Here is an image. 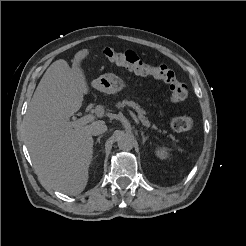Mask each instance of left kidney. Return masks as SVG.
I'll return each mask as SVG.
<instances>
[{"label": "left kidney", "mask_w": 246, "mask_h": 246, "mask_svg": "<svg viewBox=\"0 0 246 246\" xmlns=\"http://www.w3.org/2000/svg\"><path fill=\"white\" fill-rule=\"evenodd\" d=\"M155 154L161 160H166L167 158L170 157L169 149L166 147H157L155 150Z\"/></svg>", "instance_id": "left-kidney-1"}]
</instances>
